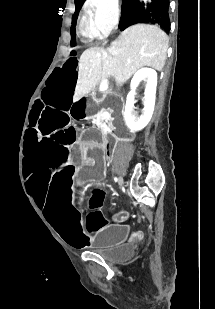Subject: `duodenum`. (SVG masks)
<instances>
[{"mask_svg": "<svg viewBox=\"0 0 215 309\" xmlns=\"http://www.w3.org/2000/svg\"><path fill=\"white\" fill-rule=\"evenodd\" d=\"M101 128H104V129H108V132L109 133H112V129L108 126V124L106 123V121H102L101 124H100Z\"/></svg>", "mask_w": 215, "mask_h": 309, "instance_id": "duodenum-1", "label": "duodenum"}]
</instances>
